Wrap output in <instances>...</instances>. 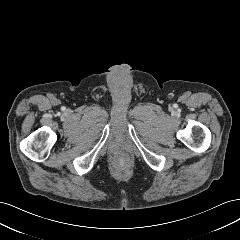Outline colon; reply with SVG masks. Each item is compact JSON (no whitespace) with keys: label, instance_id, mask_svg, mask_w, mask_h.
Returning a JSON list of instances; mask_svg holds the SVG:
<instances>
[{"label":"colon","instance_id":"1","mask_svg":"<svg viewBox=\"0 0 240 240\" xmlns=\"http://www.w3.org/2000/svg\"><path fill=\"white\" fill-rule=\"evenodd\" d=\"M128 163V159L127 158H123V164H127Z\"/></svg>","mask_w":240,"mask_h":240}]
</instances>
